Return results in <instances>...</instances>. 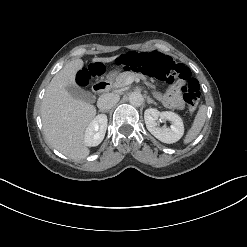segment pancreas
Returning <instances> with one entry per match:
<instances>
[{
	"label": "pancreas",
	"mask_w": 247,
	"mask_h": 247,
	"mask_svg": "<svg viewBox=\"0 0 247 247\" xmlns=\"http://www.w3.org/2000/svg\"><path fill=\"white\" fill-rule=\"evenodd\" d=\"M128 78H133V79L140 78V79H142L145 82V84L149 88H151V89H154L155 88V86L152 83L146 81V78L144 76L139 75V74H136V73H133V72H124V73L119 74L116 77L115 82L112 84L111 88L115 92L122 91L125 88V86L127 85L126 81H127Z\"/></svg>",
	"instance_id": "cf45deb5"
}]
</instances>
